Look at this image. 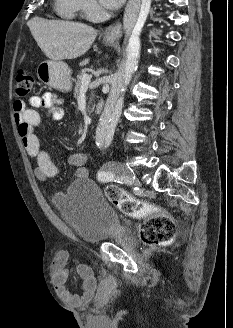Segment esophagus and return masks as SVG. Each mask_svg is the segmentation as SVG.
Instances as JSON below:
<instances>
[{
  "instance_id": "obj_1",
  "label": "esophagus",
  "mask_w": 233,
  "mask_h": 328,
  "mask_svg": "<svg viewBox=\"0 0 233 328\" xmlns=\"http://www.w3.org/2000/svg\"><path fill=\"white\" fill-rule=\"evenodd\" d=\"M121 31H122V26L120 21L118 20L115 23H112L105 28L103 32V36L107 40L114 41L120 37Z\"/></svg>"
}]
</instances>
